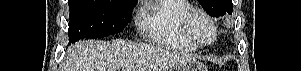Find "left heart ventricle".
Segmentation results:
<instances>
[{
  "mask_svg": "<svg viewBox=\"0 0 301 71\" xmlns=\"http://www.w3.org/2000/svg\"><path fill=\"white\" fill-rule=\"evenodd\" d=\"M193 31L201 42H208L213 36V29L210 24L202 17H195L193 20Z\"/></svg>",
  "mask_w": 301,
  "mask_h": 71,
  "instance_id": "b2bd125f",
  "label": "left heart ventricle"
}]
</instances>
